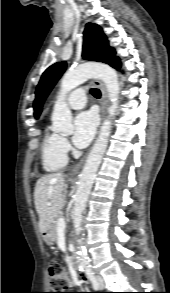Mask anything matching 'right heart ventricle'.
<instances>
[{"mask_svg":"<svg viewBox=\"0 0 170 293\" xmlns=\"http://www.w3.org/2000/svg\"><path fill=\"white\" fill-rule=\"evenodd\" d=\"M40 150L44 171L55 172L66 165L67 155L61 147V137L48 127L44 128Z\"/></svg>","mask_w":170,"mask_h":293,"instance_id":"right-heart-ventricle-1","label":"right heart ventricle"}]
</instances>
